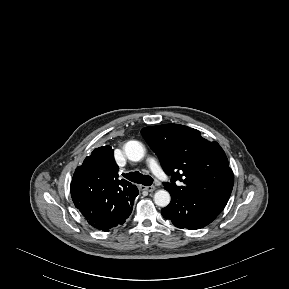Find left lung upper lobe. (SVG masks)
Segmentation results:
<instances>
[{"instance_id":"left-lung-upper-lobe-1","label":"left lung upper lobe","mask_w":289,"mask_h":289,"mask_svg":"<svg viewBox=\"0 0 289 289\" xmlns=\"http://www.w3.org/2000/svg\"><path fill=\"white\" fill-rule=\"evenodd\" d=\"M145 140L158 155L171 182L164 188L175 196H187L208 203L219 210L226 206L234 184V175L225 152L193 128L164 124L141 130ZM181 181L182 186H177Z\"/></svg>"}]
</instances>
